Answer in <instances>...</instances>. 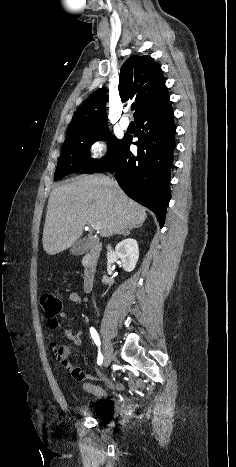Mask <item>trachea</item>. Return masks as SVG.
Returning a JSON list of instances; mask_svg holds the SVG:
<instances>
[{"instance_id":"trachea-1","label":"trachea","mask_w":236,"mask_h":467,"mask_svg":"<svg viewBox=\"0 0 236 467\" xmlns=\"http://www.w3.org/2000/svg\"><path fill=\"white\" fill-rule=\"evenodd\" d=\"M135 109V106H131V110H134Z\"/></svg>"}]
</instances>
